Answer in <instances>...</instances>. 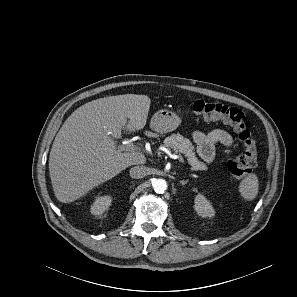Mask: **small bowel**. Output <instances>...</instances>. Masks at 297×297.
I'll use <instances>...</instances> for the list:
<instances>
[{
  "label": "small bowel",
  "instance_id": "obj_1",
  "mask_svg": "<svg viewBox=\"0 0 297 297\" xmlns=\"http://www.w3.org/2000/svg\"><path fill=\"white\" fill-rule=\"evenodd\" d=\"M192 139L197 145L200 158L205 163H210L213 160L217 143L230 147L233 142L231 135L223 129H214L208 133L195 130L192 133Z\"/></svg>",
  "mask_w": 297,
  "mask_h": 297
}]
</instances>
